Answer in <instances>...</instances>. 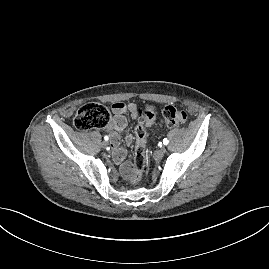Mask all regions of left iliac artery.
Listing matches in <instances>:
<instances>
[{
  "instance_id": "obj_1",
  "label": "left iliac artery",
  "mask_w": 269,
  "mask_h": 269,
  "mask_svg": "<svg viewBox=\"0 0 269 269\" xmlns=\"http://www.w3.org/2000/svg\"><path fill=\"white\" fill-rule=\"evenodd\" d=\"M168 143H169V140H168L167 138H164V139H163V144H164V145H167Z\"/></svg>"
}]
</instances>
